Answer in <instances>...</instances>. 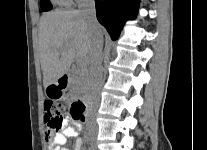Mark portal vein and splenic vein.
Listing matches in <instances>:
<instances>
[{"label":"portal vein and splenic vein","instance_id":"portal-vein-and-splenic-vein-1","mask_svg":"<svg viewBox=\"0 0 207 150\" xmlns=\"http://www.w3.org/2000/svg\"><path fill=\"white\" fill-rule=\"evenodd\" d=\"M78 65L81 66H85L86 62L84 60H78Z\"/></svg>","mask_w":207,"mask_h":150}]
</instances>
